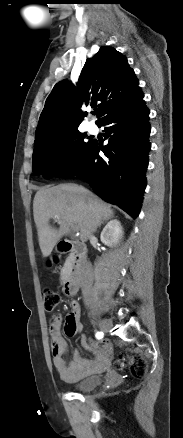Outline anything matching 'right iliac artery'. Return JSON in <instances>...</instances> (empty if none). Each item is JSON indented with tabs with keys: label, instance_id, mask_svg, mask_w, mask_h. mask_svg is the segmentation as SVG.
Here are the masks:
<instances>
[{
	"label": "right iliac artery",
	"instance_id": "obj_1",
	"mask_svg": "<svg viewBox=\"0 0 183 438\" xmlns=\"http://www.w3.org/2000/svg\"><path fill=\"white\" fill-rule=\"evenodd\" d=\"M95 336H96L97 339H102L104 334H103V332H101V331L99 332L98 331Z\"/></svg>",
	"mask_w": 183,
	"mask_h": 438
}]
</instances>
